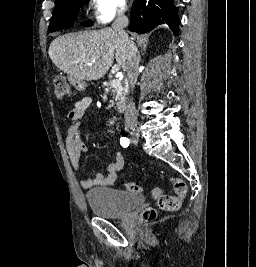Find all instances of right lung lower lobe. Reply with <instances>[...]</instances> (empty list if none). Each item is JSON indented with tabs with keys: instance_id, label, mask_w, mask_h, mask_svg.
Listing matches in <instances>:
<instances>
[{
	"instance_id": "obj_1",
	"label": "right lung lower lobe",
	"mask_w": 256,
	"mask_h": 267,
	"mask_svg": "<svg viewBox=\"0 0 256 267\" xmlns=\"http://www.w3.org/2000/svg\"><path fill=\"white\" fill-rule=\"evenodd\" d=\"M168 24L178 34L179 19L173 0H135L132 6L129 30L145 33L160 24Z\"/></svg>"
}]
</instances>
